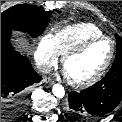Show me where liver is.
<instances>
[{
	"label": "liver",
	"instance_id": "6515ba94",
	"mask_svg": "<svg viewBox=\"0 0 122 122\" xmlns=\"http://www.w3.org/2000/svg\"><path fill=\"white\" fill-rule=\"evenodd\" d=\"M18 42H19V44H20V45H19L20 48H24V47H25L26 44L23 43L24 41H23L22 39H19Z\"/></svg>",
	"mask_w": 122,
	"mask_h": 122
}]
</instances>
